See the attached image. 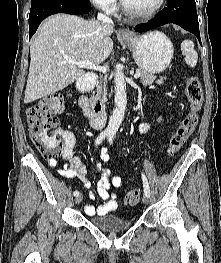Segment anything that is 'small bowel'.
<instances>
[{"label": "small bowel", "instance_id": "c3829d8e", "mask_svg": "<svg viewBox=\"0 0 221 263\" xmlns=\"http://www.w3.org/2000/svg\"><path fill=\"white\" fill-rule=\"evenodd\" d=\"M149 130L147 124H142L140 126L141 132H146ZM62 136L64 139V150L62 157L65 161L63 163L58 173L66 178H78L84 182L86 188L91 187V183L88 180L87 169L74 153V148L76 145V138L73 132L63 131ZM110 160V156L107 150H102L98 160L96 161V170L99 173V179L96 183V192L104 201L103 204L95 207L93 205L87 204L84 207L85 213L89 216L92 215H105L117 208V196L112 192V188H119L123 184L121 176H111V173L107 169L102 168V164L107 163ZM48 165L50 167H57L59 162L57 160H48ZM89 197L94 199V194L89 193Z\"/></svg>", "mask_w": 221, "mask_h": 263}]
</instances>
